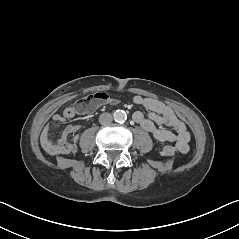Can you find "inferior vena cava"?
Returning a JSON list of instances; mask_svg holds the SVG:
<instances>
[{
	"label": "inferior vena cava",
	"instance_id": "obj_1",
	"mask_svg": "<svg viewBox=\"0 0 239 239\" xmlns=\"http://www.w3.org/2000/svg\"><path fill=\"white\" fill-rule=\"evenodd\" d=\"M112 121H113V117L110 113L105 112L99 116V122L101 124H110Z\"/></svg>",
	"mask_w": 239,
	"mask_h": 239
}]
</instances>
